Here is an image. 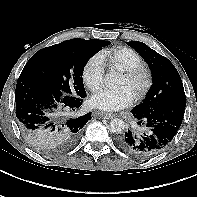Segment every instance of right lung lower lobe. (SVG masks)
<instances>
[{"label":"right lung lower lobe","instance_id":"98d812e1","mask_svg":"<svg viewBox=\"0 0 197 197\" xmlns=\"http://www.w3.org/2000/svg\"><path fill=\"white\" fill-rule=\"evenodd\" d=\"M16 116L24 135L39 145L67 150L78 140L91 113L74 117L83 98L64 95L46 79L21 74L15 90Z\"/></svg>","mask_w":197,"mask_h":197}]
</instances>
